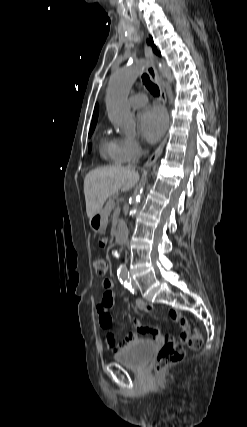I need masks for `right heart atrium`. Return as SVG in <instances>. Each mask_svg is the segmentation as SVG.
I'll use <instances>...</instances> for the list:
<instances>
[{"instance_id": "d8ad5b80", "label": "right heart atrium", "mask_w": 247, "mask_h": 427, "mask_svg": "<svg viewBox=\"0 0 247 427\" xmlns=\"http://www.w3.org/2000/svg\"><path fill=\"white\" fill-rule=\"evenodd\" d=\"M122 151L125 161L137 158L142 152L141 143L133 138L121 139Z\"/></svg>"}]
</instances>
